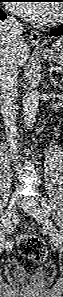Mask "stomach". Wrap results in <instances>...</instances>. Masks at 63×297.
<instances>
[{"instance_id": "1", "label": "stomach", "mask_w": 63, "mask_h": 297, "mask_svg": "<svg viewBox=\"0 0 63 297\" xmlns=\"http://www.w3.org/2000/svg\"><path fill=\"white\" fill-rule=\"evenodd\" d=\"M42 52L49 61L63 65V39L57 40L51 47L44 49Z\"/></svg>"}]
</instances>
